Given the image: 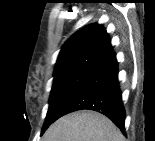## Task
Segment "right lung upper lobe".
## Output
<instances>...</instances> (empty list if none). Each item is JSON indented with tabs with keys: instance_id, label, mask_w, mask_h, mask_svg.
<instances>
[{
	"instance_id": "right-lung-upper-lobe-1",
	"label": "right lung upper lobe",
	"mask_w": 155,
	"mask_h": 141,
	"mask_svg": "<svg viewBox=\"0 0 155 141\" xmlns=\"http://www.w3.org/2000/svg\"><path fill=\"white\" fill-rule=\"evenodd\" d=\"M113 53L111 40L98 24L88 25L73 34L63 45L54 75L75 70H96Z\"/></svg>"
}]
</instances>
